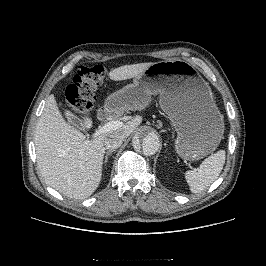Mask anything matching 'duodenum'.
<instances>
[{"label": "duodenum", "instance_id": "duodenum-1", "mask_svg": "<svg viewBox=\"0 0 266 266\" xmlns=\"http://www.w3.org/2000/svg\"><path fill=\"white\" fill-rule=\"evenodd\" d=\"M115 115H116V109L109 106L105 107L98 113V117L103 120L109 119Z\"/></svg>", "mask_w": 266, "mask_h": 266}]
</instances>
